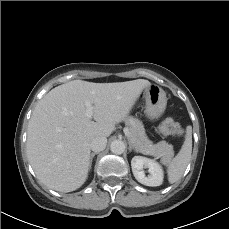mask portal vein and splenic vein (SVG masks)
Returning <instances> with one entry per match:
<instances>
[{
  "instance_id": "18ae733b",
  "label": "portal vein and splenic vein",
  "mask_w": 229,
  "mask_h": 229,
  "mask_svg": "<svg viewBox=\"0 0 229 229\" xmlns=\"http://www.w3.org/2000/svg\"><path fill=\"white\" fill-rule=\"evenodd\" d=\"M85 106H86V112H85V117L87 119H91L92 118V115H93V106L92 104L89 102V101H86L85 102ZM124 134L129 137L130 136V131L128 128H124Z\"/></svg>"
}]
</instances>
